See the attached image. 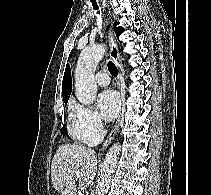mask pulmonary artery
Returning <instances> with one entry per match:
<instances>
[{"label": "pulmonary artery", "mask_w": 211, "mask_h": 195, "mask_svg": "<svg viewBox=\"0 0 211 195\" xmlns=\"http://www.w3.org/2000/svg\"><path fill=\"white\" fill-rule=\"evenodd\" d=\"M95 80L100 86H107L110 83V78H109L108 74L105 72L97 73L95 76Z\"/></svg>", "instance_id": "obj_1"}]
</instances>
